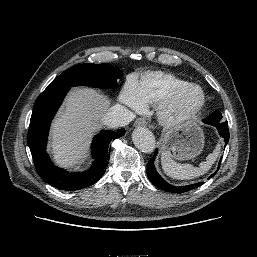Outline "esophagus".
I'll return each mask as SVG.
<instances>
[{
    "label": "esophagus",
    "mask_w": 257,
    "mask_h": 257,
    "mask_svg": "<svg viewBox=\"0 0 257 257\" xmlns=\"http://www.w3.org/2000/svg\"><path fill=\"white\" fill-rule=\"evenodd\" d=\"M146 125V119L145 118H139L135 121L134 126L135 127H141Z\"/></svg>",
    "instance_id": "1"
}]
</instances>
